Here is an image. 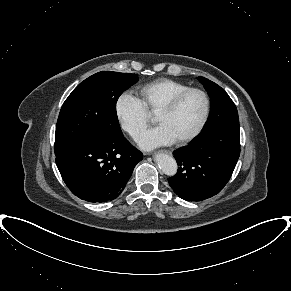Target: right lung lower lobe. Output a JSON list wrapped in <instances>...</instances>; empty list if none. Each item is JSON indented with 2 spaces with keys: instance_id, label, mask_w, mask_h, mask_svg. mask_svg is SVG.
I'll return each instance as SVG.
<instances>
[{
  "instance_id": "98d812e1",
  "label": "right lung lower lobe",
  "mask_w": 291,
  "mask_h": 291,
  "mask_svg": "<svg viewBox=\"0 0 291 291\" xmlns=\"http://www.w3.org/2000/svg\"><path fill=\"white\" fill-rule=\"evenodd\" d=\"M143 154L123 134L106 140H85L56 155L66 186L89 202L116 199Z\"/></svg>"
}]
</instances>
